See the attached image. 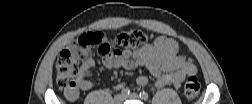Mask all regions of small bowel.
<instances>
[{
	"label": "small bowel",
	"instance_id": "obj_1",
	"mask_svg": "<svg viewBox=\"0 0 252 104\" xmlns=\"http://www.w3.org/2000/svg\"><path fill=\"white\" fill-rule=\"evenodd\" d=\"M84 64L87 68H92L95 62L89 58L84 61ZM103 65L108 69L123 68L127 70L145 67L156 79L158 88L167 85L180 88L186 76L197 73L194 63L189 61L186 56L178 55L177 42L165 36H160L152 44L144 45L133 51H115L103 61ZM148 82V77L144 75L136 79V83L141 87L146 86ZM124 85V83H119L115 89H121ZM93 86L94 83L87 79H82L79 84L80 89L84 91Z\"/></svg>",
	"mask_w": 252,
	"mask_h": 104
}]
</instances>
